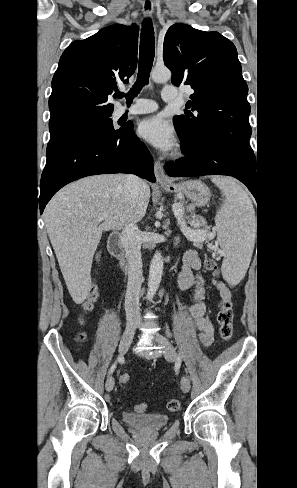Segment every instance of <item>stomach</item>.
Returning a JSON list of instances; mask_svg holds the SVG:
<instances>
[{
	"mask_svg": "<svg viewBox=\"0 0 297 488\" xmlns=\"http://www.w3.org/2000/svg\"><path fill=\"white\" fill-rule=\"evenodd\" d=\"M163 188L174 193L178 198H187L194 205L201 207L208 204L211 198L209 188L200 180H187L179 183H167Z\"/></svg>",
	"mask_w": 297,
	"mask_h": 488,
	"instance_id": "obj_1",
	"label": "stomach"
}]
</instances>
